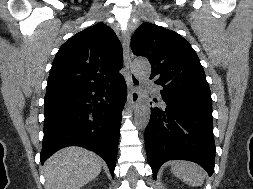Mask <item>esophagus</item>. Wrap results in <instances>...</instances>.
<instances>
[{"label":"esophagus","mask_w":253,"mask_h":189,"mask_svg":"<svg viewBox=\"0 0 253 189\" xmlns=\"http://www.w3.org/2000/svg\"><path fill=\"white\" fill-rule=\"evenodd\" d=\"M121 40L123 47L124 63L129 74L128 80L129 103L132 108H135L140 98V91H139L140 80L136 76L132 66V57L130 53V34L128 31L122 32Z\"/></svg>","instance_id":"obj_1"}]
</instances>
